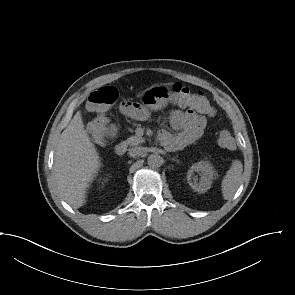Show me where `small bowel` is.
I'll return each instance as SVG.
<instances>
[{
  "label": "small bowel",
  "mask_w": 295,
  "mask_h": 295,
  "mask_svg": "<svg viewBox=\"0 0 295 295\" xmlns=\"http://www.w3.org/2000/svg\"><path fill=\"white\" fill-rule=\"evenodd\" d=\"M179 105L181 107H186L183 104ZM119 109L122 114L138 120H143L147 116L146 110L133 102L124 101L120 104ZM170 122L172 127L178 132L172 134L168 130L162 129L159 133V137L164 145L172 150L182 149L186 145L199 139L206 127L205 117L192 109L172 110L170 112ZM111 133L114 134L113 128H111Z\"/></svg>",
  "instance_id": "c3829d8e"
}]
</instances>
